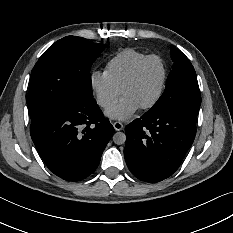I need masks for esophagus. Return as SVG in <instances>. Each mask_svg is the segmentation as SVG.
<instances>
[{
  "instance_id": "esophagus-1",
  "label": "esophagus",
  "mask_w": 233,
  "mask_h": 233,
  "mask_svg": "<svg viewBox=\"0 0 233 233\" xmlns=\"http://www.w3.org/2000/svg\"><path fill=\"white\" fill-rule=\"evenodd\" d=\"M113 127L115 128L116 131H120L123 129V124L121 122H114Z\"/></svg>"
}]
</instances>
